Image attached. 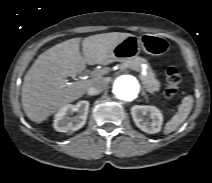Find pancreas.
Returning <instances> with one entry per match:
<instances>
[{"instance_id":"pancreas-1","label":"pancreas","mask_w":212,"mask_h":183,"mask_svg":"<svg viewBox=\"0 0 212 183\" xmlns=\"http://www.w3.org/2000/svg\"><path fill=\"white\" fill-rule=\"evenodd\" d=\"M146 59L142 57H134L132 59L126 60L121 64L123 68H129L137 72H141L142 64L146 63ZM140 80L146 89L147 92L154 94L160 90V82L155 78V74L153 73L152 69L148 66L147 67V74L140 75Z\"/></svg>"}]
</instances>
